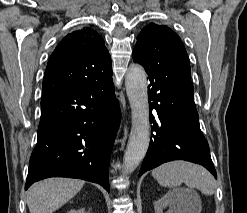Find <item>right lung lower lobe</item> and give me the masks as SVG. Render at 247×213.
<instances>
[{"instance_id":"right-lung-lower-lobe-1","label":"right lung lower lobe","mask_w":247,"mask_h":213,"mask_svg":"<svg viewBox=\"0 0 247 213\" xmlns=\"http://www.w3.org/2000/svg\"><path fill=\"white\" fill-rule=\"evenodd\" d=\"M119 122L112 75L43 97L25 189L44 178L71 177L109 191L110 155Z\"/></svg>"}]
</instances>
